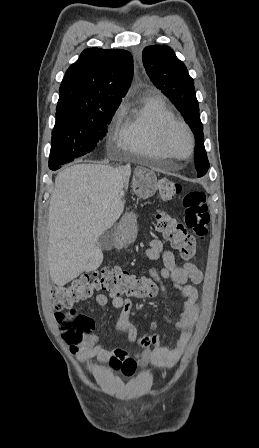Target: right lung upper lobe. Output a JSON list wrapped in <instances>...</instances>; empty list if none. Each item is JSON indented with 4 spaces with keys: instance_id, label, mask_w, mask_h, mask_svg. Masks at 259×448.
<instances>
[{
    "instance_id": "cb5924a9",
    "label": "right lung upper lobe",
    "mask_w": 259,
    "mask_h": 448,
    "mask_svg": "<svg viewBox=\"0 0 259 448\" xmlns=\"http://www.w3.org/2000/svg\"><path fill=\"white\" fill-rule=\"evenodd\" d=\"M133 77L132 55L121 49H85L60 85L56 114L118 108Z\"/></svg>"
}]
</instances>
